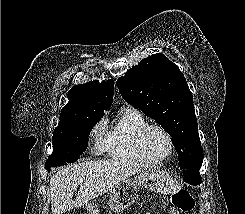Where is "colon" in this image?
Here are the masks:
<instances>
[{
    "mask_svg": "<svg viewBox=\"0 0 245 214\" xmlns=\"http://www.w3.org/2000/svg\"><path fill=\"white\" fill-rule=\"evenodd\" d=\"M171 203V214L189 213L194 208V200L185 189H180L174 193L171 196Z\"/></svg>",
    "mask_w": 245,
    "mask_h": 214,
    "instance_id": "5ec220e1",
    "label": "colon"
}]
</instances>
